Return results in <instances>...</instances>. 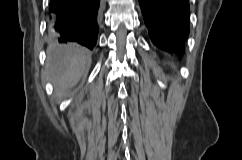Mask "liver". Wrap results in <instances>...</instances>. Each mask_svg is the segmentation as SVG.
<instances>
[{"label":"liver","instance_id":"liver-1","mask_svg":"<svg viewBox=\"0 0 242 160\" xmlns=\"http://www.w3.org/2000/svg\"><path fill=\"white\" fill-rule=\"evenodd\" d=\"M46 71L57 92L76 85L90 64V52L80 45L49 44Z\"/></svg>","mask_w":242,"mask_h":160}]
</instances>
